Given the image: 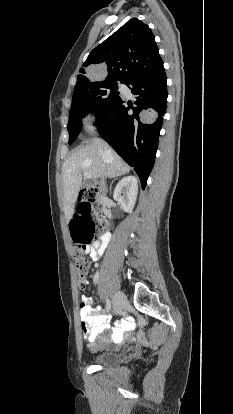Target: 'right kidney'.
<instances>
[{
	"mask_svg": "<svg viewBox=\"0 0 233 414\" xmlns=\"http://www.w3.org/2000/svg\"><path fill=\"white\" fill-rule=\"evenodd\" d=\"M138 194L137 179L134 176L122 178L116 185L113 193L114 200L127 213H131Z\"/></svg>",
	"mask_w": 233,
	"mask_h": 414,
	"instance_id": "right-kidney-1",
	"label": "right kidney"
}]
</instances>
